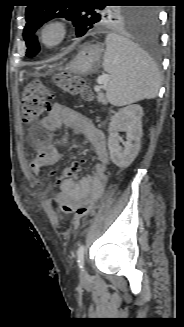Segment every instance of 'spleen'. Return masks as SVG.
Wrapping results in <instances>:
<instances>
[{
    "instance_id": "spleen-1",
    "label": "spleen",
    "mask_w": 184,
    "mask_h": 327,
    "mask_svg": "<svg viewBox=\"0 0 184 327\" xmlns=\"http://www.w3.org/2000/svg\"><path fill=\"white\" fill-rule=\"evenodd\" d=\"M103 68L111 76L106 96L114 106H123L157 96L160 73L152 59L129 39L110 33L106 37Z\"/></svg>"
}]
</instances>
